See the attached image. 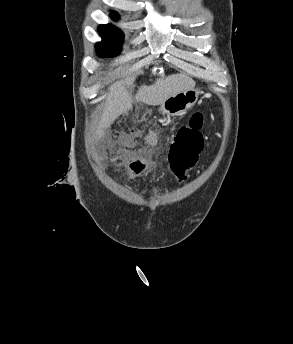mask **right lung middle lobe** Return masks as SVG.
<instances>
[{
	"mask_svg": "<svg viewBox=\"0 0 293 344\" xmlns=\"http://www.w3.org/2000/svg\"><path fill=\"white\" fill-rule=\"evenodd\" d=\"M111 16L118 18L115 13H112ZM98 30L103 40L96 45L97 55L101 58L118 55L123 42V33L111 24L100 25Z\"/></svg>",
	"mask_w": 293,
	"mask_h": 344,
	"instance_id": "1",
	"label": "right lung middle lobe"
}]
</instances>
